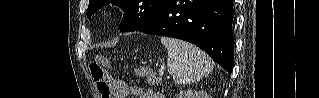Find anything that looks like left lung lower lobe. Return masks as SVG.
<instances>
[{
    "label": "left lung lower lobe",
    "mask_w": 319,
    "mask_h": 98,
    "mask_svg": "<svg viewBox=\"0 0 319 98\" xmlns=\"http://www.w3.org/2000/svg\"><path fill=\"white\" fill-rule=\"evenodd\" d=\"M233 0H163L136 31L191 42L231 74L234 63Z\"/></svg>",
    "instance_id": "0a47b994"
}]
</instances>
